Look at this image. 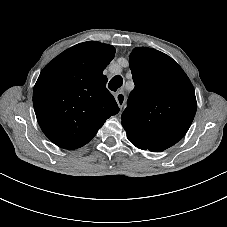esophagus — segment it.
Returning <instances> with one entry per match:
<instances>
[{
  "label": "esophagus",
  "instance_id": "esophagus-1",
  "mask_svg": "<svg viewBox=\"0 0 227 227\" xmlns=\"http://www.w3.org/2000/svg\"><path fill=\"white\" fill-rule=\"evenodd\" d=\"M115 100L120 109H122L126 102V95L123 92H118L115 96Z\"/></svg>",
  "mask_w": 227,
  "mask_h": 227
}]
</instances>
